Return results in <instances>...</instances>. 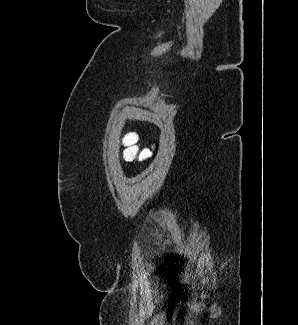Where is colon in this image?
I'll list each match as a JSON object with an SVG mask.
<instances>
[{
    "mask_svg": "<svg viewBox=\"0 0 298 325\" xmlns=\"http://www.w3.org/2000/svg\"><path fill=\"white\" fill-rule=\"evenodd\" d=\"M123 144V157L126 161H133L138 157L145 159L148 156V154L145 152H139V148L137 146V135L134 133L127 134L123 140Z\"/></svg>",
    "mask_w": 298,
    "mask_h": 325,
    "instance_id": "1",
    "label": "colon"
}]
</instances>
